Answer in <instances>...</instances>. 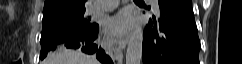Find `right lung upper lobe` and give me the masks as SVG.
Listing matches in <instances>:
<instances>
[{
	"label": "right lung upper lobe",
	"instance_id": "right-lung-upper-lobe-1",
	"mask_svg": "<svg viewBox=\"0 0 242 64\" xmlns=\"http://www.w3.org/2000/svg\"><path fill=\"white\" fill-rule=\"evenodd\" d=\"M86 0H45L43 13L85 6Z\"/></svg>",
	"mask_w": 242,
	"mask_h": 64
}]
</instances>
